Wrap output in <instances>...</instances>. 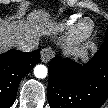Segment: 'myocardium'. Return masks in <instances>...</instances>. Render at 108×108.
<instances>
[{"instance_id": "myocardium-1", "label": "myocardium", "mask_w": 108, "mask_h": 108, "mask_svg": "<svg viewBox=\"0 0 108 108\" xmlns=\"http://www.w3.org/2000/svg\"><path fill=\"white\" fill-rule=\"evenodd\" d=\"M94 31V24L89 19L81 20L73 30V37L76 41L82 42L91 37Z\"/></svg>"}]
</instances>
